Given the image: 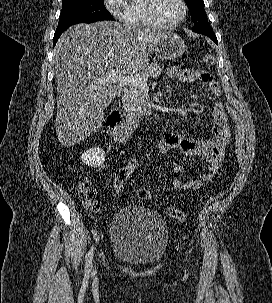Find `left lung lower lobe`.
Here are the masks:
<instances>
[{
    "instance_id": "left-lung-lower-lobe-1",
    "label": "left lung lower lobe",
    "mask_w": 272,
    "mask_h": 303,
    "mask_svg": "<svg viewBox=\"0 0 272 303\" xmlns=\"http://www.w3.org/2000/svg\"><path fill=\"white\" fill-rule=\"evenodd\" d=\"M203 35L208 36V37H209L210 39H212L215 43H217V38H216V36H215L214 33H205V34H203Z\"/></svg>"
}]
</instances>
